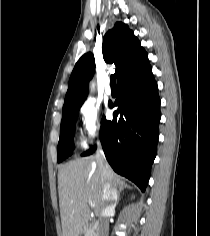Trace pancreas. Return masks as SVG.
<instances>
[{
  "label": "pancreas",
  "mask_w": 210,
  "mask_h": 236,
  "mask_svg": "<svg viewBox=\"0 0 210 236\" xmlns=\"http://www.w3.org/2000/svg\"><path fill=\"white\" fill-rule=\"evenodd\" d=\"M87 234L88 236H96V232H94L93 230H89Z\"/></svg>",
  "instance_id": "1"
}]
</instances>
